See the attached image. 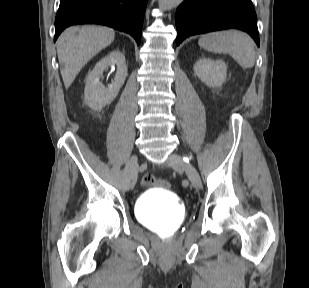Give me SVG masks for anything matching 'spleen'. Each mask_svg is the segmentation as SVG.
<instances>
[{
	"instance_id": "1",
	"label": "spleen",
	"mask_w": 309,
	"mask_h": 288,
	"mask_svg": "<svg viewBox=\"0 0 309 288\" xmlns=\"http://www.w3.org/2000/svg\"><path fill=\"white\" fill-rule=\"evenodd\" d=\"M201 48L215 53H228L243 68L255 64V45L252 39L241 31L226 30L207 33L198 41Z\"/></svg>"
}]
</instances>
